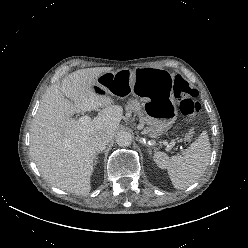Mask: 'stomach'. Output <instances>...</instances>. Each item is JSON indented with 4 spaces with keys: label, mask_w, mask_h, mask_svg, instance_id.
<instances>
[{
    "label": "stomach",
    "mask_w": 248,
    "mask_h": 248,
    "mask_svg": "<svg viewBox=\"0 0 248 248\" xmlns=\"http://www.w3.org/2000/svg\"><path fill=\"white\" fill-rule=\"evenodd\" d=\"M172 83L173 75L162 68H122L100 75L94 88L99 94L118 98L130 94L140 97L147 118L146 122H141L142 134L159 138L171 128L178 116L172 98Z\"/></svg>",
    "instance_id": "1"
}]
</instances>
